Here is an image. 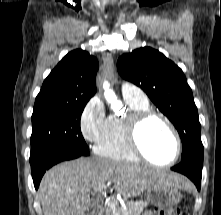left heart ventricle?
Returning <instances> with one entry per match:
<instances>
[{
    "label": "left heart ventricle",
    "instance_id": "1",
    "mask_svg": "<svg viewBox=\"0 0 221 215\" xmlns=\"http://www.w3.org/2000/svg\"><path fill=\"white\" fill-rule=\"evenodd\" d=\"M139 140L146 155L157 163H166L174 156V138L166 125L157 118L145 123Z\"/></svg>",
    "mask_w": 221,
    "mask_h": 215
}]
</instances>
